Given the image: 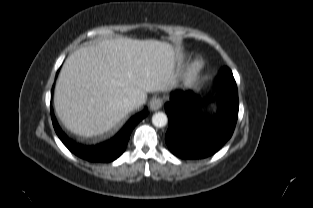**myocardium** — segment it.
<instances>
[{
	"instance_id": "obj_1",
	"label": "myocardium",
	"mask_w": 313,
	"mask_h": 208,
	"mask_svg": "<svg viewBox=\"0 0 313 208\" xmlns=\"http://www.w3.org/2000/svg\"><path fill=\"white\" fill-rule=\"evenodd\" d=\"M203 69V62L200 59L194 60L185 69L183 74V84L186 86L193 85L199 78Z\"/></svg>"
}]
</instances>
